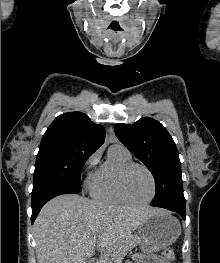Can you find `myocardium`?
<instances>
[{"instance_id": "f54148a6", "label": "myocardium", "mask_w": 220, "mask_h": 263, "mask_svg": "<svg viewBox=\"0 0 220 263\" xmlns=\"http://www.w3.org/2000/svg\"><path fill=\"white\" fill-rule=\"evenodd\" d=\"M134 168L143 169L144 171L147 172V174L149 175V177L151 179L152 193H151L150 197L145 201H134L128 196V194L126 192L125 180H126L128 173ZM117 189H118L120 196L122 197V199L126 203L131 204V205H136V206L147 205L154 199V197L156 195V190H157L156 178H155L154 174L152 173V171L147 166L140 164V163H136V162H130V163L124 165L118 172Z\"/></svg>"}]
</instances>
